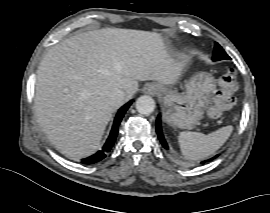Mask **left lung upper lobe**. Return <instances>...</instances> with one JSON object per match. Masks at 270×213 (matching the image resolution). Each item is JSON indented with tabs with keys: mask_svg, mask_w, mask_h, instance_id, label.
Returning <instances> with one entry per match:
<instances>
[{
	"mask_svg": "<svg viewBox=\"0 0 270 213\" xmlns=\"http://www.w3.org/2000/svg\"><path fill=\"white\" fill-rule=\"evenodd\" d=\"M224 59H230V57L226 54V52L223 50V48L216 43L214 47V53H213V61H219Z\"/></svg>",
	"mask_w": 270,
	"mask_h": 213,
	"instance_id": "obj_1",
	"label": "left lung upper lobe"
}]
</instances>
